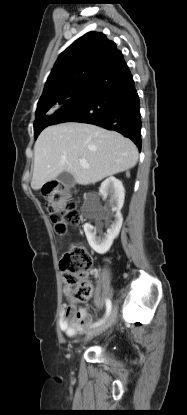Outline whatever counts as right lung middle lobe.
<instances>
[{"label": "right lung middle lobe", "instance_id": "1", "mask_svg": "<svg viewBox=\"0 0 187 415\" xmlns=\"http://www.w3.org/2000/svg\"><path fill=\"white\" fill-rule=\"evenodd\" d=\"M87 81L81 83L78 86L70 88L65 92V94L55 103L44 106L36 110V119L34 122V134L35 138L38 137L40 132L47 126L52 124L53 114L52 111L55 109L62 107L68 100H70L73 96L82 92L85 89Z\"/></svg>", "mask_w": 187, "mask_h": 415}]
</instances>
